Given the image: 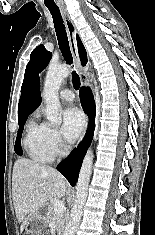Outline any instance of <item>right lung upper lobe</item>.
<instances>
[{
    "label": "right lung upper lobe",
    "mask_w": 155,
    "mask_h": 235,
    "mask_svg": "<svg viewBox=\"0 0 155 235\" xmlns=\"http://www.w3.org/2000/svg\"><path fill=\"white\" fill-rule=\"evenodd\" d=\"M78 52L83 66L87 63L85 48L77 36ZM39 77H34L28 84L22 85V93L18 105V119L28 117L41 104Z\"/></svg>",
    "instance_id": "obj_1"
}]
</instances>
